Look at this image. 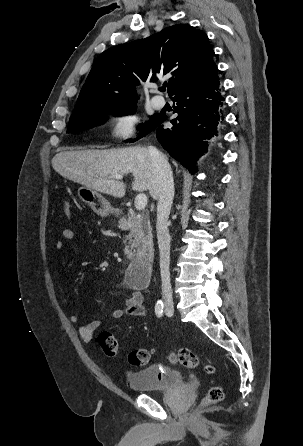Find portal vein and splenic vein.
<instances>
[{"label":"portal vein and splenic vein","mask_w":303,"mask_h":446,"mask_svg":"<svg viewBox=\"0 0 303 446\" xmlns=\"http://www.w3.org/2000/svg\"><path fill=\"white\" fill-rule=\"evenodd\" d=\"M123 175H115L113 179L121 180ZM147 206V196L143 193L138 194L135 198V208L139 211L144 210Z\"/></svg>","instance_id":"obj_1"}]
</instances>
